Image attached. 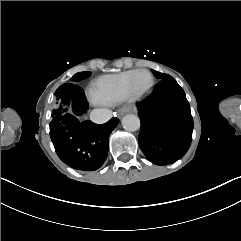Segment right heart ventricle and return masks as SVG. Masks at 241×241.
I'll use <instances>...</instances> for the list:
<instances>
[{"mask_svg": "<svg viewBox=\"0 0 241 241\" xmlns=\"http://www.w3.org/2000/svg\"><path fill=\"white\" fill-rule=\"evenodd\" d=\"M135 74L125 72L98 78L89 90L91 101L99 104H113L122 101L129 95L127 86L133 82Z\"/></svg>", "mask_w": 241, "mask_h": 241, "instance_id": "e07e8e85", "label": "right heart ventricle"}]
</instances>
